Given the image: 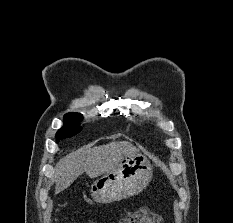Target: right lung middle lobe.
<instances>
[{
	"label": "right lung middle lobe",
	"instance_id": "1",
	"mask_svg": "<svg viewBox=\"0 0 233 223\" xmlns=\"http://www.w3.org/2000/svg\"><path fill=\"white\" fill-rule=\"evenodd\" d=\"M81 115L78 113H68L64 116L65 125L61 128L57 134L56 138L58 140L69 138L82 130V127L77 125V123L81 120Z\"/></svg>",
	"mask_w": 233,
	"mask_h": 223
}]
</instances>
